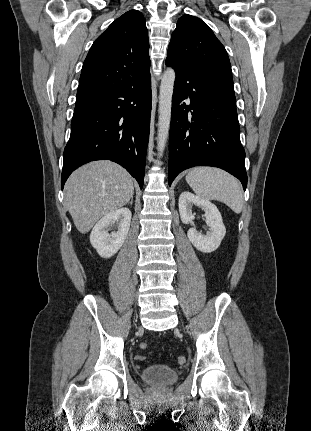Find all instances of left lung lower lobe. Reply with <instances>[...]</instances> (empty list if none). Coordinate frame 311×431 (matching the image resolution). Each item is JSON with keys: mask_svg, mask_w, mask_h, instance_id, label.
Segmentation results:
<instances>
[{"mask_svg": "<svg viewBox=\"0 0 311 431\" xmlns=\"http://www.w3.org/2000/svg\"><path fill=\"white\" fill-rule=\"evenodd\" d=\"M169 135V185L183 170L214 166L247 186L245 151L240 142L233 83L203 77L178 67ZM190 100L187 105L184 100Z\"/></svg>", "mask_w": 311, "mask_h": 431, "instance_id": "1", "label": "left lung lower lobe"}]
</instances>
